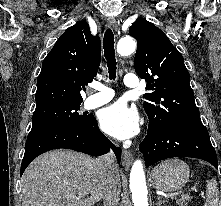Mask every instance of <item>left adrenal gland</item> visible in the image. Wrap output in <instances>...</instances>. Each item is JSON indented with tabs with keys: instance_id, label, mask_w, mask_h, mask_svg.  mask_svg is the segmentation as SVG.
Returning a JSON list of instances; mask_svg holds the SVG:
<instances>
[{
	"instance_id": "1",
	"label": "left adrenal gland",
	"mask_w": 221,
	"mask_h": 206,
	"mask_svg": "<svg viewBox=\"0 0 221 206\" xmlns=\"http://www.w3.org/2000/svg\"><path fill=\"white\" fill-rule=\"evenodd\" d=\"M157 199H158V201H157V206H160V205H162V204H165V201H162V199H161L160 196H157Z\"/></svg>"
}]
</instances>
